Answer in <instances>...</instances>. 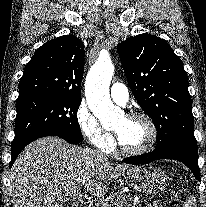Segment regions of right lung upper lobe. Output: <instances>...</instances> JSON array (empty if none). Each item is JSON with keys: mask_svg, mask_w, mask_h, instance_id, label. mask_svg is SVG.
<instances>
[{"mask_svg": "<svg viewBox=\"0 0 206 207\" xmlns=\"http://www.w3.org/2000/svg\"><path fill=\"white\" fill-rule=\"evenodd\" d=\"M84 71V46L73 35L46 42L31 58L19 83L17 100L53 95L81 98Z\"/></svg>", "mask_w": 206, "mask_h": 207, "instance_id": "cb5924a9", "label": "right lung upper lobe"}]
</instances>
